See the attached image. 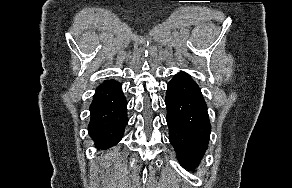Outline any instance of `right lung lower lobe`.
I'll use <instances>...</instances> for the list:
<instances>
[{"label": "right lung lower lobe", "instance_id": "right-lung-lower-lobe-1", "mask_svg": "<svg viewBox=\"0 0 292 188\" xmlns=\"http://www.w3.org/2000/svg\"><path fill=\"white\" fill-rule=\"evenodd\" d=\"M88 133L99 149L116 145L128 123L127 101L122 86L115 80L101 83L90 105Z\"/></svg>", "mask_w": 292, "mask_h": 188}]
</instances>
